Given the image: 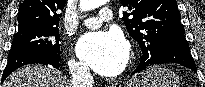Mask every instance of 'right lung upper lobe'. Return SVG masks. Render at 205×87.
Listing matches in <instances>:
<instances>
[{
    "mask_svg": "<svg viewBox=\"0 0 205 87\" xmlns=\"http://www.w3.org/2000/svg\"><path fill=\"white\" fill-rule=\"evenodd\" d=\"M66 0H24L19 5L18 32L31 29L58 28L60 11Z\"/></svg>",
    "mask_w": 205,
    "mask_h": 87,
    "instance_id": "1",
    "label": "right lung upper lobe"
}]
</instances>
